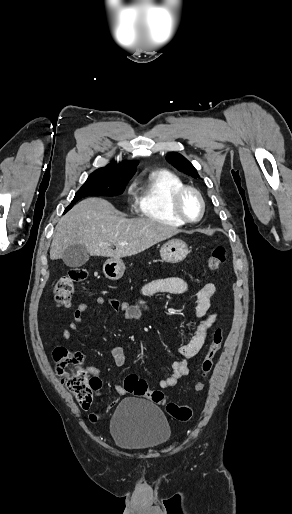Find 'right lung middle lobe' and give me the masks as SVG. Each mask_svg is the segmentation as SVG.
Returning <instances> with one entry per match:
<instances>
[{
	"label": "right lung middle lobe",
	"mask_w": 292,
	"mask_h": 514,
	"mask_svg": "<svg viewBox=\"0 0 292 514\" xmlns=\"http://www.w3.org/2000/svg\"><path fill=\"white\" fill-rule=\"evenodd\" d=\"M129 179H102L89 177L84 185L77 191L68 211L74 203L87 196H118L123 193Z\"/></svg>",
	"instance_id": "dd1d6c3e"
}]
</instances>
